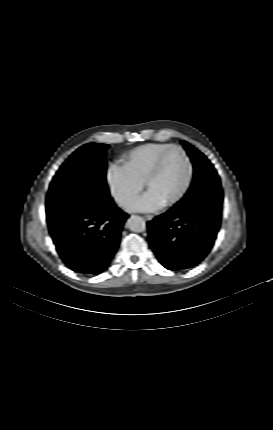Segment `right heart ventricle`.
Returning a JSON list of instances; mask_svg holds the SVG:
<instances>
[{
    "label": "right heart ventricle",
    "mask_w": 273,
    "mask_h": 430,
    "mask_svg": "<svg viewBox=\"0 0 273 430\" xmlns=\"http://www.w3.org/2000/svg\"><path fill=\"white\" fill-rule=\"evenodd\" d=\"M171 144L147 143L140 145L123 156L122 163L141 182H145L158 156Z\"/></svg>",
    "instance_id": "right-heart-ventricle-1"
}]
</instances>
